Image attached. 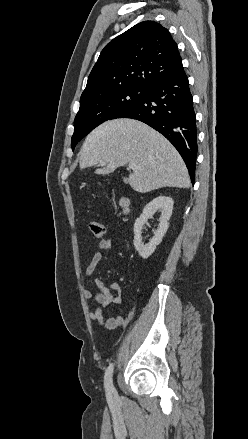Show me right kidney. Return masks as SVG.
<instances>
[{"mask_svg": "<svg viewBox=\"0 0 248 439\" xmlns=\"http://www.w3.org/2000/svg\"><path fill=\"white\" fill-rule=\"evenodd\" d=\"M173 204L174 201L171 197L159 196L149 202L143 209L140 217L136 219L134 223L133 242L135 249L143 259H147L155 251L157 245L161 243L162 238L169 227L168 221L172 215ZM157 210L161 212L159 226L150 242L148 244H144L141 236L143 226L147 222L148 218H150Z\"/></svg>", "mask_w": 248, "mask_h": 439, "instance_id": "right-kidney-1", "label": "right kidney"}]
</instances>
